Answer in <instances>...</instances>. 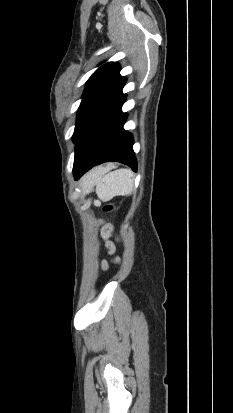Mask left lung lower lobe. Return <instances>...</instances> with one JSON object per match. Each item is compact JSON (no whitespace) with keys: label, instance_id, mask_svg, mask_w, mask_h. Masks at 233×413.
I'll return each instance as SVG.
<instances>
[{"label":"left lung lower lobe","instance_id":"1","mask_svg":"<svg viewBox=\"0 0 233 413\" xmlns=\"http://www.w3.org/2000/svg\"><path fill=\"white\" fill-rule=\"evenodd\" d=\"M122 88L85 131L75 152L73 166L75 180L93 166L108 161L121 162L134 171L137 170V160L132 149L133 136L123 129L127 115L121 111L126 100Z\"/></svg>","mask_w":233,"mask_h":413}]
</instances>
